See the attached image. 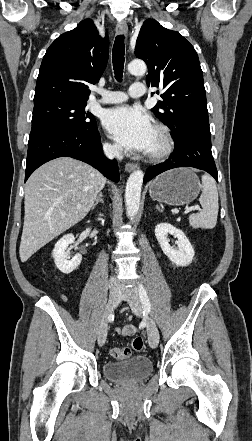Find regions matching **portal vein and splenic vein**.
I'll return each mask as SVG.
<instances>
[{"label":"portal vein and splenic vein","mask_w":252,"mask_h":441,"mask_svg":"<svg viewBox=\"0 0 252 441\" xmlns=\"http://www.w3.org/2000/svg\"><path fill=\"white\" fill-rule=\"evenodd\" d=\"M200 210L199 206L189 207L186 209L185 214H188L191 211Z\"/></svg>","instance_id":"1"}]
</instances>
